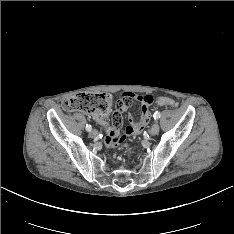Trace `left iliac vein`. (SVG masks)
Returning <instances> with one entry per match:
<instances>
[{
  "label": "left iliac vein",
  "mask_w": 234,
  "mask_h": 234,
  "mask_svg": "<svg viewBox=\"0 0 234 234\" xmlns=\"http://www.w3.org/2000/svg\"><path fill=\"white\" fill-rule=\"evenodd\" d=\"M159 130H160L159 124L155 122L150 129V134L152 136H155L159 133Z\"/></svg>",
  "instance_id": "4c4485c4"
}]
</instances>
